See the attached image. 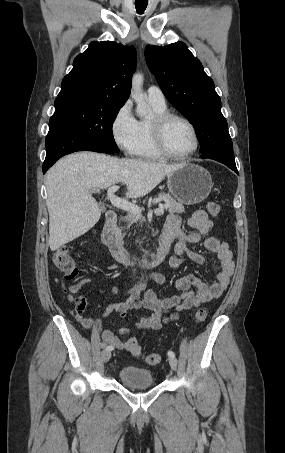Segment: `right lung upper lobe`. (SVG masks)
<instances>
[{
	"instance_id": "cb5924a9",
	"label": "right lung upper lobe",
	"mask_w": 285,
	"mask_h": 453,
	"mask_svg": "<svg viewBox=\"0 0 285 453\" xmlns=\"http://www.w3.org/2000/svg\"><path fill=\"white\" fill-rule=\"evenodd\" d=\"M136 50L112 41H93L73 62L56 100L106 99L124 104L130 94Z\"/></svg>"
}]
</instances>
